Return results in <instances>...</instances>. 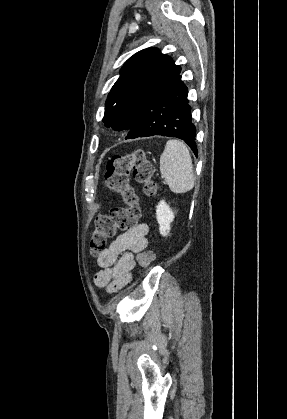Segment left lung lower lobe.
Masks as SVG:
<instances>
[{
    "mask_svg": "<svg viewBox=\"0 0 287 419\" xmlns=\"http://www.w3.org/2000/svg\"><path fill=\"white\" fill-rule=\"evenodd\" d=\"M187 94L188 88L179 76L171 86L141 106L125 139L154 135L176 137L184 140L197 156L196 128Z\"/></svg>",
    "mask_w": 287,
    "mask_h": 419,
    "instance_id": "obj_1",
    "label": "left lung lower lobe"
}]
</instances>
